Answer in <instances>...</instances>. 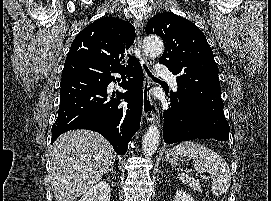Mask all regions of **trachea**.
I'll return each instance as SVG.
<instances>
[{
    "label": "trachea",
    "mask_w": 271,
    "mask_h": 201,
    "mask_svg": "<svg viewBox=\"0 0 271 201\" xmlns=\"http://www.w3.org/2000/svg\"><path fill=\"white\" fill-rule=\"evenodd\" d=\"M144 69H145V71L147 72V74H148L151 78L157 79L156 77H154V76L152 75V73L149 71L148 67H147L145 64H144Z\"/></svg>",
    "instance_id": "3493384b"
}]
</instances>
